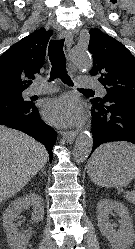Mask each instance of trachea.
<instances>
[{"instance_id":"obj_1","label":"trachea","mask_w":135,"mask_h":249,"mask_svg":"<svg viewBox=\"0 0 135 249\" xmlns=\"http://www.w3.org/2000/svg\"><path fill=\"white\" fill-rule=\"evenodd\" d=\"M65 39L52 40L49 44L48 54L51 62V80L60 78L65 84L72 86L73 82L67 75L66 58L63 51ZM82 91H93L91 89H80Z\"/></svg>"}]
</instances>
